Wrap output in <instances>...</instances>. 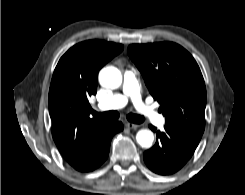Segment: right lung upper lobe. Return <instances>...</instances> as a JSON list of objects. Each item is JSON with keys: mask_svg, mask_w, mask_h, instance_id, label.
<instances>
[{"mask_svg": "<svg viewBox=\"0 0 245 195\" xmlns=\"http://www.w3.org/2000/svg\"><path fill=\"white\" fill-rule=\"evenodd\" d=\"M123 45L89 40L70 48L59 60L49 90L52 136L64 159L76 170L94 160L95 140L107 123L89 117L88 98L97 92V75Z\"/></svg>", "mask_w": 245, "mask_h": 195, "instance_id": "obj_1", "label": "right lung upper lobe"}]
</instances>
